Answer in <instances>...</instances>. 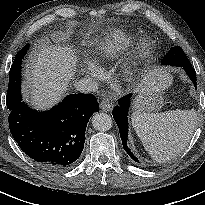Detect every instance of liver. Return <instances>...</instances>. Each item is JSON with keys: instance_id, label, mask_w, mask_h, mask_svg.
I'll return each instance as SVG.
<instances>
[{"instance_id": "liver-1", "label": "liver", "mask_w": 205, "mask_h": 205, "mask_svg": "<svg viewBox=\"0 0 205 205\" xmlns=\"http://www.w3.org/2000/svg\"><path fill=\"white\" fill-rule=\"evenodd\" d=\"M77 57L71 48L41 44L32 51L24 71V96L31 105L45 110L64 96L75 73ZM168 79L165 71L154 69L141 81L138 91L151 90Z\"/></svg>"}]
</instances>
